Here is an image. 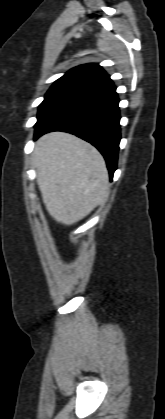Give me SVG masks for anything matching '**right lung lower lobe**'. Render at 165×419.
Segmentation results:
<instances>
[{"label":"right lung lower lobe","instance_id":"obj_1","mask_svg":"<svg viewBox=\"0 0 165 419\" xmlns=\"http://www.w3.org/2000/svg\"><path fill=\"white\" fill-rule=\"evenodd\" d=\"M118 103L114 85L82 96L50 114L35 128L34 139L51 131H64L90 142L104 156L112 179L121 138Z\"/></svg>","mask_w":165,"mask_h":419}]
</instances>
